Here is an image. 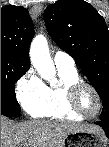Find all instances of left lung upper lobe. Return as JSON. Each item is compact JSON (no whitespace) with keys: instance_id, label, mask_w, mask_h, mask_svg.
I'll return each instance as SVG.
<instances>
[{"instance_id":"1","label":"left lung upper lobe","mask_w":109,"mask_h":147,"mask_svg":"<svg viewBox=\"0 0 109 147\" xmlns=\"http://www.w3.org/2000/svg\"><path fill=\"white\" fill-rule=\"evenodd\" d=\"M44 21L102 99L100 120L109 121V30L104 18L84 0H59L46 8Z\"/></svg>"}]
</instances>
